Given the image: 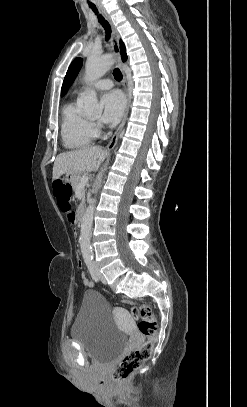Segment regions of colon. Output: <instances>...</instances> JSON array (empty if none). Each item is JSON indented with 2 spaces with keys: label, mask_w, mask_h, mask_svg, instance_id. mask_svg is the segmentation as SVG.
I'll return each mask as SVG.
<instances>
[{
  "label": "colon",
  "mask_w": 247,
  "mask_h": 407,
  "mask_svg": "<svg viewBox=\"0 0 247 407\" xmlns=\"http://www.w3.org/2000/svg\"><path fill=\"white\" fill-rule=\"evenodd\" d=\"M53 193L57 198L60 210L69 215L72 211V188L63 181L53 183ZM122 302L132 305V314L138 320L139 331L147 338L139 347L126 354L113 368L111 376L115 382H123L135 370L150 358L157 335V321L153 307L148 303H138L129 297H123Z\"/></svg>",
  "instance_id": "obj_1"
}]
</instances>
